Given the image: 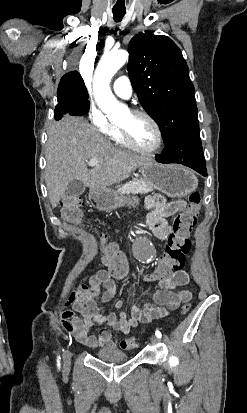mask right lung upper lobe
<instances>
[{
    "label": "right lung upper lobe",
    "mask_w": 247,
    "mask_h": 413,
    "mask_svg": "<svg viewBox=\"0 0 247 413\" xmlns=\"http://www.w3.org/2000/svg\"><path fill=\"white\" fill-rule=\"evenodd\" d=\"M71 80H83V79H82L81 75L79 74V72H77V71H72V72H69V73L65 74V75L61 78V81H60V82H63V81H71Z\"/></svg>",
    "instance_id": "1"
}]
</instances>
